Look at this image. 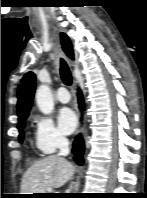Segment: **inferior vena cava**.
<instances>
[{"mask_svg":"<svg viewBox=\"0 0 147 198\" xmlns=\"http://www.w3.org/2000/svg\"><path fill=\"white\" fill-rule=\"evenodd\" d=\"M59 156H67L70 152L69 141L67 138L60 136L58 139Z\"/></svg>","mask_w":147,"mask_h":198,"instance_id":"obj_1","label":"inferior vena cava"}]
</instances>
